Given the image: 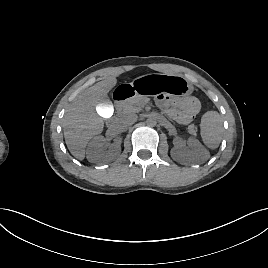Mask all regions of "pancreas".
<instances>
[{
  "instance_id": "pancreas-1",
  "label": "pancreas",
  "mask_w": 268,
  "mask_h": 268,
  "mask_svg": "<svg viewBox=\"0 0 268 268\" xmlns=\"http://www.w3.org/2000/svg\"><path fill=\"white\" fill-rule=\"evenodd\" d=\"M148 103V99L143 96H135L129 100L123 101L119 103L118 109L123 114L128 113H135L142 110V108ZM195 127L193 125H190L188 127V132L192 133L194 131Z\"/></svg>"
}]
</instances>
